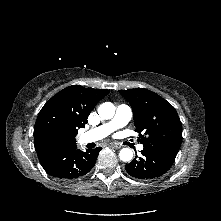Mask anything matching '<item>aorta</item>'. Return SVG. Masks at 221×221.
Masks as SVG:
<instances>
[{
  "label": "aorta",
  "instance_id": "762f6f07",
  "mask_svg": "<svg viewBox=\"0 0 221 221\" xmlns=\"http://www.w3.org/2000/svg\"><path fill=\"white\" fill-rule=\"evenodd\" d=\"M98 114L102 119L108 120L115 114V106L111 102L102 103L98 108ZM119 157L122 161H130L133 158V152L130 148L120 150Z\"/></svg>",
  "mask_w": 221,
  "mask_h": 221
}]
</instances>
